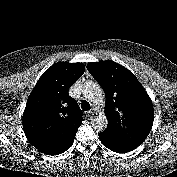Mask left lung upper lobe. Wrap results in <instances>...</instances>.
Instances as JSON below:
<instances>
[{
	"instance_id": "1",
	"label": "left lung upper lobe",
	"mask_w": 177,
	"mask_h": 177,
	"mask_svg": "<svg viewBox=\"0 0 177 177\" xmlns=\"http://www.w3.org/2000/svg\"><path fill=\"white\" fill-rule=\"evenodd\" d=\"M87 69L106 94L109 125L99 134L100 139L126 147L139 146L154 120L152 101L143 86L128 69L113 61L90 63Z\"/></svg>"
}]
</instances>
